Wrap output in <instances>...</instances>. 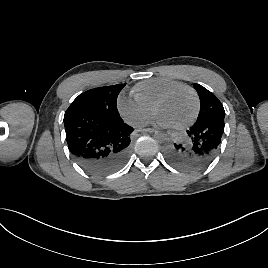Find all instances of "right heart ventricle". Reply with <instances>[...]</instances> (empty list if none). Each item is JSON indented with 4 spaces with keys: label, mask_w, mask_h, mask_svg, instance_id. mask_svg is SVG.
Instances as JSON below:
<instances>
[{
    "label": "right heart ventricle",
    "mask_w": 268,
    "mask_h": 268,
    "mask_svg": "<svg viewBox=\"0 0 268 268\" xmlns=\"http://www.w3.org/2000/svg\"><path fill=\"white\" fill-rule=\"evenodd\" d=\"M181 84L179 81L169 78L155 77L137 83L132 88L133 98L153 109L157 100L170 88Z\"/></svg>",
    "instance_id": "obj_1"
}]
</instances>
